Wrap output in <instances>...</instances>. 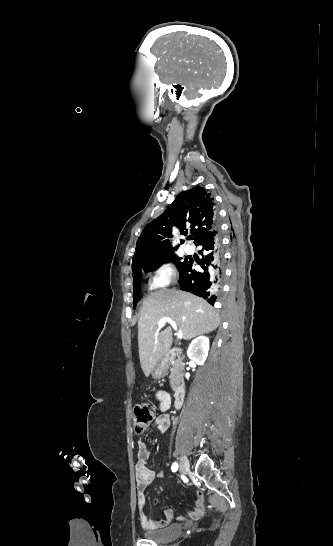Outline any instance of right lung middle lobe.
Returning <instances> with one entry per match:
<instances>
[{
	"instance_id": "1",
	"label": "right lung middle lobe",
	"mask_w": 333,
	"mask_h": 546,
	"mask_svg": "<svg viewBox=\"0 0 333 546\" xmlns=\"http://www.w3.org/2000/svg\"><path fill=\"white\" fill-rule=\"evenodd\" d=\"M180 259L181 258H178L177 255L174 254L173 252H169V253L164 255L161 263L158 266L147 270V272L157 270L162 263L170 261V260H173L175 262L177 268L180 269L184 265V263L187 261V259H185L183 262H181ZM140 276H141V273H138V274L133 276V286H134L133 304L134 305L137 303V300H138V297H139V280H140Z\"/></svg>"
}]
</instances>
